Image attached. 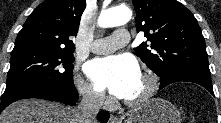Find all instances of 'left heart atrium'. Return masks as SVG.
<instances>
[{"mask_svg": "<svg viewBox=\"0 0 221 123\" xmlns=\"http://www.w3.org/2000/svg\"><path fill=\"white\" fill-rule=\"evenodd\" d=\"M86 74L99 90L124 98L140 76L136 61L125 55L96 58L86 66Z\"/></svg>", "mask_w": 221, "mask_h": 123, "instance_id": "1", "label": "left heart atrium"}]
</instances>
